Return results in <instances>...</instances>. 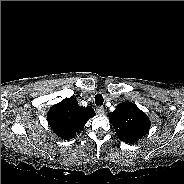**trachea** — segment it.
<instances>
[{"label":"trachea","mask_w":184,"mask_h":184,"mask_svg":"<svg viewBox=\"0 0 184 184\" xmlns=\"http://www.w3.org/2000/svg\"><path fill=\"white\" fill-rule=\"evenodd\" d=\"M103 101H104V99H103V96L101 94H97L95 96V103L97 106L103 105Z\"/></svg>","instance_id":"obj_1"}]
</instances>
